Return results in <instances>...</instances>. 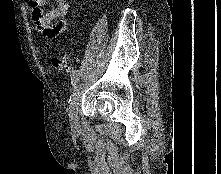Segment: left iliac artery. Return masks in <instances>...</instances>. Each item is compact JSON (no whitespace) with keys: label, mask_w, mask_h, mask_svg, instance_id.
I'll return each mask as SVG.
<instances>
[{"label":"left iliac artery","mask_w":221,"mask_h":174,"mask_svg":"<svg viewBox=\"0 0 221 174\" xmlns=\"http://www.w3.org/2000/svg\"><path fill=\"white\" fill-rule=\"evenodd\" d=\"M79 78H80L79 70H75L74 73L72 74V78H71L72 86L76 85V83L78 82Z\"/></svg>","instance_id":"1"}]
</instances>
